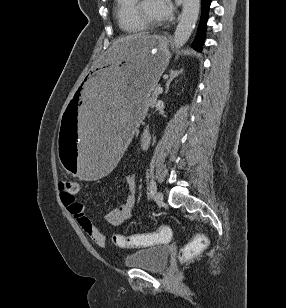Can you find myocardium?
Masks as SVG:
<instances>
[{
	"mask_svg": "<svg viewBox=\"0 0 286 308\" xmlns=\"http://www.w3.org/2000/svg\"><path fill=\"white\" fill-rule=\"evenodd\" d=\"M145 0H137L133 7V12L136 17V19L147 29L155 28L161 25V21H151L148 18H146L142 12L141 7Z\"/></svg>",
	"mask_w": 286,
	"mask_h": 308,
	"instance_id": "f54148a6",
	"label": "myocardium"
}]
</instances>
